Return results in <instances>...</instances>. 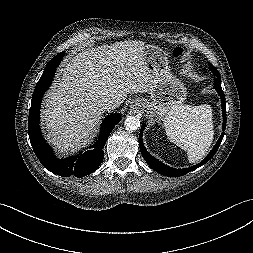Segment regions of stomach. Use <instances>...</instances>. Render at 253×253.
I'll return each mask as SVG.
<instances>
[{
  "label": "stomach",
  "instance_id": "stomach-1",
  "mask_svg": "<svg viewBox=\"0 0 253 253\" xmlns=\"http://www.w3.org/2000/svg\"><path fill=\"white\" fill-rule=\"evenodd\" d=\"M142 56L145 64L156 73L157 82L150 91V99L135 101L142 110L155 120L166 121L187 98L184 83L170 72L167 54L159 47L144 44Z\"/></svg>",
  "mask_w": 253,
  "mask_h": 253
}]
</instances>
